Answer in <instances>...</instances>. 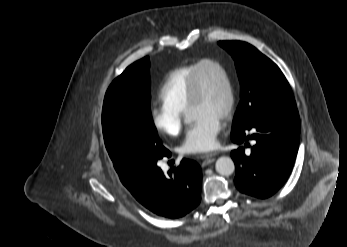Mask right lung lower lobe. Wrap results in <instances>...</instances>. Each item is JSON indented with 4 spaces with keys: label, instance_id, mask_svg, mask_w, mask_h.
Segmentation results:
<instances>
[{
    "label": "right lung lower lobe",
    "instance_id": "obj_1",
    "mask_svg": "<svg viewBox=\"0 0 347 247\" xmlns=\"http://www.w3.org/2000/svg\"><path fill=\"white\" fill-rule=\"evenodd\" d=\"M169 155L166 149L160 157L137 159L117 172L121 182L143 206L157 215L175 219L200 203L202 172L195 161L183 159L176 169L164 174L157 161Z\"/></svg>",
    "mask_w": 347,
    "mask_h": 247
}]
</instances>
